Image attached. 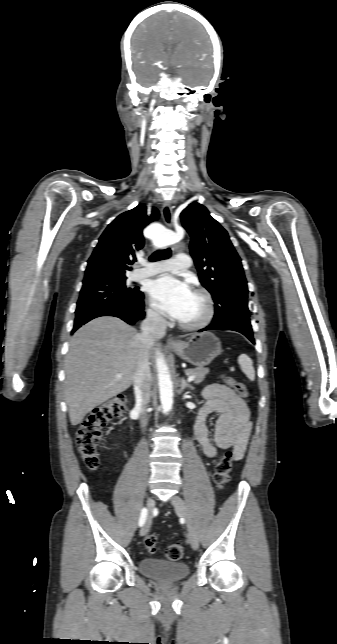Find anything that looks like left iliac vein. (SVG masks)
Masks as SVG:
<instances>
[{"label": "left iliac vein", "instance_id": "1", "mask_svg": "<svg viewBox=\"0 0 337 644\" xmlns=\"http://www.w3.org/2000/svg\"><path fill=\"white\" fill-rule=\"evenodd\" d=\"M171 503L174 506L176 513L186 520V525L188 529V541L192 546V548L196 550L199 546V537L187 505L177 495H174L171 498Z\"/></svg>", "mask_w": 337, "mask_h": 644}]
</instances>
